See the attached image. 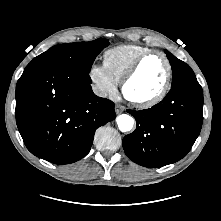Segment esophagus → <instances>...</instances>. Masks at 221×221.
<instances>
[{"label":"esophagus","mask_w":221,"mask_h":221,"mask_svg":"<svg viewBox=\"0 0 221 221\" xmlns=\"http://www.w3.org/2000/svg\"><path fill=\"white\" fill-rule=\"evenodd\" d=\"M125 110V107L121 104H115V112L116 114H120Z\"/></svg>","instance_id":"1"}]
</instances>
